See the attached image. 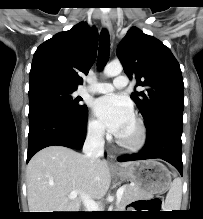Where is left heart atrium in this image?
Listing matches in <instances>:
<instances>
[{
	"instance_id": "1",
	"label": "left heart atrium",
	"mask_w": 203,
	"mask_h": 219,
	"mask_svg": "<svg viewBox=\"0 0 203 219\" xmlns=\"http://www.w3.org/2000/svg\"><path fill=\"white\" fill-rule=\"evenodd\" d=\"M93 107L103 125L116 136L134 116L130 102L119 95L100 97Z\"/></svg>"
}]
</instances>
